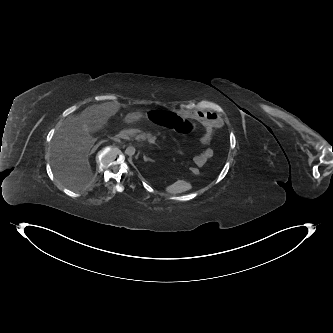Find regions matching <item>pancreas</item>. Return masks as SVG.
Returning <instances> with one entry per match:
<instances>
[{"label": "pancreas", "mask_w": 333, "mask_h": 333, "mask_svg": "<svg viewBox=\"0 0 333 333\" xmlns=\"http://www.w3.org/2000/svg\"><path fill=\"white\" fill-rule=\"evenodd\" d=\"M125 133L130 137H134L138 142L156 139V137H154L151 133H144L138 129L127 130Z\"/></svg>", "instance_id": "pancreas-1"}]
</instances>
